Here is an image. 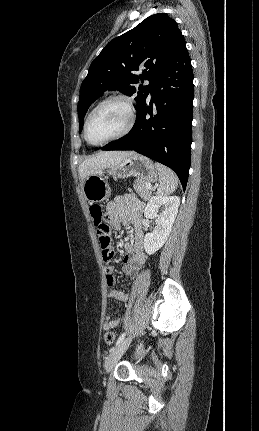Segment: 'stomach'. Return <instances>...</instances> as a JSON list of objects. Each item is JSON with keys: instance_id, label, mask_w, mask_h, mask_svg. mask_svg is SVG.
Listing matches in <instances>:
<instances>
[{"instance_id": "0dacf381", "label": "stomach", "mask_w": 259, "mask_h": 431, "mask_svg": "<svg viewBox=\"0 0 259 431\" xmlns=\"http://www.w3.org/2000/svg\"><path fill=\"white\" fill-rule=\"evenodd\" d=\"M105 175L112 176L114 179L135 176L145 183H153L157 181L159 174L149 158L134 153L117 165L92 174L84 180L83 193L89 202H101L111 195V188Z\"/></svg>"}]
</instances>
